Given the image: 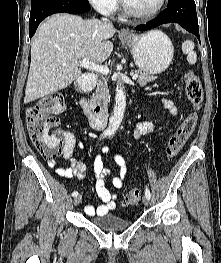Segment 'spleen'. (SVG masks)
Masks as SVG:
<instances>
[{"label": "spleen", "instance_id": "obj_1", "mask_svg": "<svg viewBox=\"0 0 221 263\" xmlns=\"http://www.w3.org/2000/svg\"><path fill=\"white\" fill-rule=\"evenodd\" d=\"M182 51L187 55V61L193 65L197 61V54L194 51V43L190 40H186L182 43Z\"/></svg>", "mask_w": 221, "mask_h": 263}]
</instances>
